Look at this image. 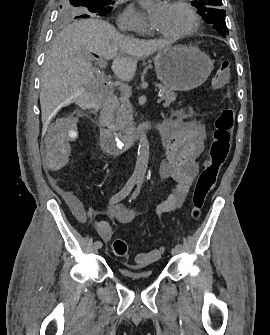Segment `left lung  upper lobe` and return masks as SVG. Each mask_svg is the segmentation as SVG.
I'll return each mask as SVG.
<instances>
[{
	"mask_svg": "<svg viewBox=\"0 0 270 335\" xmlns=\"http://www.w3.org/2000/svg\"><path fill=\"white\" fill-rule=\"evenodd\" d=\"M192 5L208 23L224 37L229 33L225 23V10L221 9V0H193Z\"/></svg>",
	"mask_w": 270,
	"mask_h": 335,
	"instance_id": "obj_1",
	"label": "left lung upper lobe"
}]
</instances>
